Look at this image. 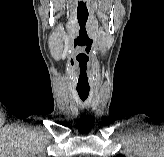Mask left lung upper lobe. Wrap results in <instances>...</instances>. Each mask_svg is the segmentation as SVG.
Segmentation results:
<instances>
[{
	"label": "left lung upper lobe",
	"mask_w": 164,
	"mask_h": 157,
	"mask_svg": "<svg viewBox=\"0 0 164 157\" xmlns=\"http://www.w3.org/2000/svg\"><path fill=\"white\" fill-rule=\"evenodd\" d=\"M114 157H125V156H123V155H117V156H114Z\"/></svg>",
	"instance_id": "1"
}]
</instances>
